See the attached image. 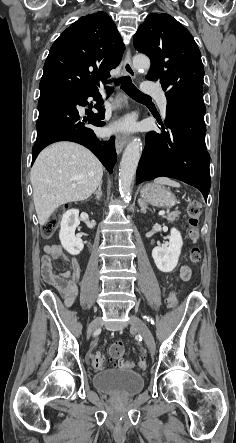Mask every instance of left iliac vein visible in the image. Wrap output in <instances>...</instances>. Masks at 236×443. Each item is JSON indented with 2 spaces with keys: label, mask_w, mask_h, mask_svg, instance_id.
<instances>
[{
  "label": "left iliac vein",
  "mask_w": 236,
  "mask_h": 443,
  "mask_svg": "<svg viewBox=\"0 0 236 443\" xmlns=\"http://www.w3.org/2000/svg\"><path fill=\"white\" fill-rule=\"evenodd\" d=\"M131 327L134 328L140 335L143 336L144 341L153 355L155 353V341L152 333L145 325V323L136 315H131L130 317Z\"/></svg>",
  "instance_id": "4c4485c4"
}]
</instances>
